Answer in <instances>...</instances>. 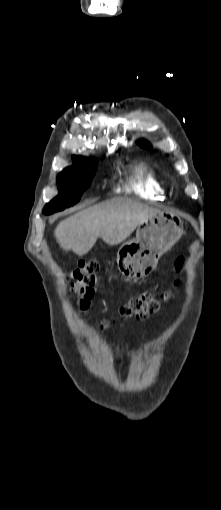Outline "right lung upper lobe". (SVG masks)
I'll list each match as a JSON object with an SVG mask.
<instances>
[{"instance_id": "obj_1", "label": "right lung upper lobe", "mask_w": 221, "mask_h": 510, "mask_svg": "<svg viewBox=\"0 0 221 510\" xmlns=\"http://www.w3.org/2000/svg\"><path fill=\"white\" fill-rule=\"evenodd\" d=\"M73 160L75 162L74 166H80V165L84 164L85 162H87L89 160H93V159H88V158H85L82 156H73Z\"/></svg>"}]
</instances>
